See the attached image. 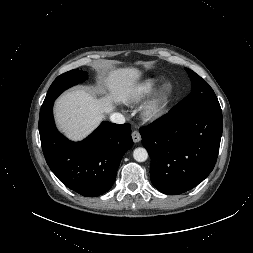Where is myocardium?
Masks as SVG:
<instances>
[{"label":"myocardium","instance_id":"f54148a6","mask_svg":"<svg viewBox=\"0 0 253 253\" xmlns=\"http://www.w3.org/2000/svg\"><path fill=\"white\" fill-rule=\"evenodd\" d=\"M173 90V84L169 81L164 82L156 90L143 107V117L147 121H154L163 114L172 97Z\"/></svg>","mask_w":253,"mask_h":253}]
</instances>
